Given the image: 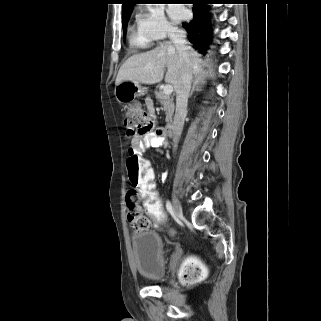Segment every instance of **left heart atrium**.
<instances>
[{
	"instance_id": "39dd6f15",
	"label": "left heart atrium",
	"mask_w": 321,
	"mask_h": 321,
	"mask_svg": "<svg viewBox=\"0 0 321 321\" xmlns=\"http://www.w3.org/2000/svg\"><path fill=\"white\" fill-rule=\"evenodd\" d=\"M169 15L174 21H180L186 16V11L179 5H172L169 8Z\"/></svg>"
}]
</instances>
